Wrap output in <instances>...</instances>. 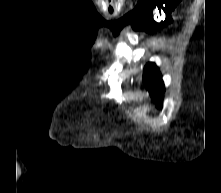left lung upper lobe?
I'll return each mask as SVG.
<instances>
[{
  "instance_id": "obj_1",
  "label": "left lung upper lobe",
  "mask_w": 221,
  "mask_h": 193,
  "mask_svg": "<svg viewBox=\"0 0 221 193\" xmlns=\"http://www.w3.org/2000/svg\"><path fill=\"white\" fill-rule=\"evenodd\" d=\"M143 83L149 90L152 100L160 107L163 100L161 95L165 89L160 72L154 63H148L145 66Z\"/></svg>"
}]
</instances>
